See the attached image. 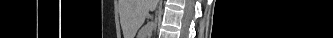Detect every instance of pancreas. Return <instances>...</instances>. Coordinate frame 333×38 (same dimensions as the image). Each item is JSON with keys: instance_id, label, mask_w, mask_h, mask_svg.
Here are the masks:
<instances>
[{"instance_id": "cf45deb5", "label": "pancreas", "mask_w": 333, "mask_h": 38, "mask_svg": "<svg viewBox=\"0 0 333 38\" xmlns=\"http://www.w3.org/2000/svg\"><path fill=\"white\" fill-rule=\"evenodd\" d=\"M151 25L149 24L148 26L144 27L143 30L141 31L140 35L145 36L148 31H150Z\"/></svg>"}]
</instances>
